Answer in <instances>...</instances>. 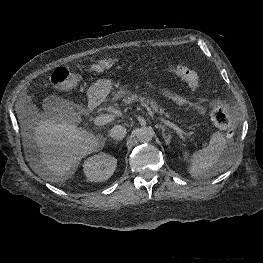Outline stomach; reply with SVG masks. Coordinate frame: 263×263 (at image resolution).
<instances>
[{"instance_id":"1","label":"stomach","mask_w":263,"mask_h":263,"mask_svg":"<svg viewBox=\"0 0 263 263\" xmlns=\"http://www.w3.org/2000/svg\"><path fill=\"white\" fill-rule=\"evenodd\" d=\"M113 83L109 79H100L94 83L87 92L89 101H101L103 100L112 90ZM115 98H118L115 95Z\"/></svg>"}]
</instances>
